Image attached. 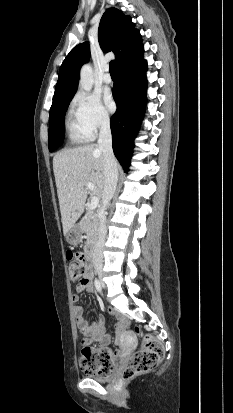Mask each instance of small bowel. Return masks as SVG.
Wrapping results in <instances>:
<instances>
[{"label":"small bowel","mask_w":233,"mask_h":413,"mask_svg":"<svg viewBox=\"0 0 233 413\" xmlns=\"http://www.w3.org/2000/svg\"><path fill=\"white\" fill-rule=\"evenodd\" d=\"M93 289L94 287H93V282H92V274L90 272V274L85 279L81 280L78 283L76 287V291L73 293V296H72L73 302L79 301L81 292L83 291L92 292ZM109 311L111 314L115 315L118 319V322L116 324L117 328H123V327L128 326V320L125 317L118 314L113 309H110ZM74 315H75L78 329L80 330L84 339L98 344L100 346L99 349H107L106 346L109 344L111 336L105 332L104 317L102 315H99L95 322L89 323L84 316L82 307L80 306L74 307ZM118 355H119L118 352L113 353L114 358L117 357Z\"/></svg>","instance_id":"small-bowel-1"}]
</instances>
